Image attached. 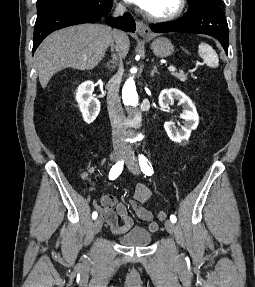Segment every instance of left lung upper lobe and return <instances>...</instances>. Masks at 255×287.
Listing matches in <instances>:
<instances>
[{
    "instance_id": "obj_1",
    "label": "left lung upper lobe",
    "mask_w": 255,
    "mask_h": 287,
    "mask_svg": "<svg viewBox=\"0 0 255 287\" xmlns=\"http://www.w3.org/2000/svg\"><path fill=\"white\" fill-rule=\"evenodd\" d=\"M198 2H210V3L216 4L218 6L221 5V0H188L189 5H192V4H195Z\"/></svg>"
}]
</instances>
